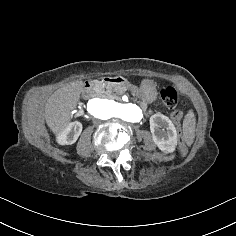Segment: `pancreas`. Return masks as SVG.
Masks as SVG:
<instances>
[{
    "label": "pancreas",
    "instance_id": "pancreas-1",
    "mask_svg": "<svg viewBox=\"0 0 236 236\" xmlns=\"http://www.w3.org/2000/svg\"><path fill=\"white\" fill-rule=\"evenodd\" d=\"M97 84V89H98V96L101 98H107V99H117L119 100L120 97L119 95H122L125 91L126 88L123 86H115L114 88L110 85H103L102 82L100 81H95ZM115 92V93H113ZM141 108L143 110L147 109V103L144 101L139 102Z\"/></svg>",
    "mask_w": 236,
    "mask_h": 236
}]
</instances>
